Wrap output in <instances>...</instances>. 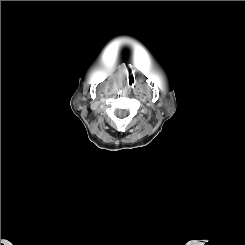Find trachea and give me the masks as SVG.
Returning a JSON list of instances; mask_svg holds the SVG:
<instances>
[{"instance_id": "1", "label": "trachea", "mask_w": 245, "mask_h": 245, "mask_svg": "<svg viewBox=\"0 0 245 245\" xmlns=\"http://www.w3.org/2000/svg\"><path fill=\"white\" fill-rule=\"evenodd\" d=\"M129 87H133L134 86V80L132 78L129 79Z\"/></svg>"}]
</instances>
